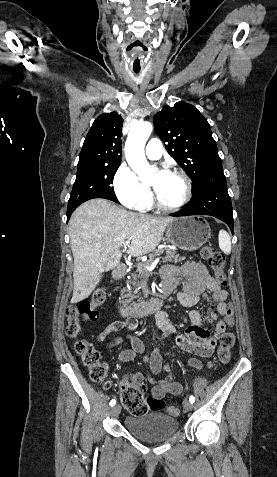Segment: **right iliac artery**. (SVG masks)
I'll use <instances>...</instances> for the list:
<instances>
[{"label": "right iliac artery", "instance_id": "obj_1", "mask_svg": "<svg viewBox=\"0 0 277 477\" xmlns=\"http://www.w3.org/2000/svg\"><path fill=\"white\" fill-rule=\"evenodd\" d=\"M115 404H116V400L113 399L110 401V406H114Z\"/></svg>", "mask_w": 277, "mask_h": 477}]
</instances>
